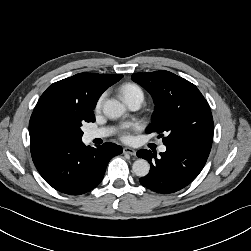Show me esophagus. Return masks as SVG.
<instances>
[{
    "instance_id": "34e87169",
    "label": "esophagus",
    "mask_w": 251,
    "mask_h": 251,
    "mask_svg": "<svg viewBox=\"0 0 251 251\" xmlns=\"http://www.w3.org/2000/svg\"><path fill=\"white\" fill-rule=\"evenodd\" d=\"M123 153H125V154H130V155H132V156H135V155H136V151H135L134 149L130 148V147H125V148L123 149Z\"/></svg>"
}]
</instances>
